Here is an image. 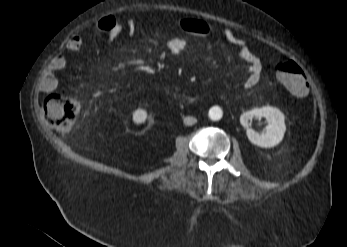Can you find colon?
Wrapping results in <instances>:
<instances>
[{
    "instance_id": "colon-1",
    "label": "colon",
    "mask_w": 347,
    "mask_h": 247,
    "mask_svg": "<svg viewBox=\"0 0 347 247\" xmlns=\"http://www.w3.org/2000/svg\"><path fill=\"white\" fill-rule=\"evenodd\" d=\"M276 78L292 94L304 97L308 82L303 69L293 60H282L275 64ZM45 118L49 125L61 133H69L75 126L80 112V103L71 97L53 93L44 102Z\"/></svg>"
}]
</instances>
